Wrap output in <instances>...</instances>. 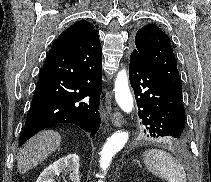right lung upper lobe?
<instances>
[{"mask_svg":"<svg viewBox=\"0 0 211 182\" xmlns=\"http://www.w3.org/2000/svg\"><path fill=\"white\" fill-rule=\"evenodd\" d=\"M96 31L90 25L89 22L85 20H81L70 26L66 29L55 42H58L60 45L69 42H77L82 40L83 38L89 37L94 34Z\"/></svg>","mask_w":211,"mask_h":182,"instance_id":"1","label":"right lung upper lobe"}]
</instances>
